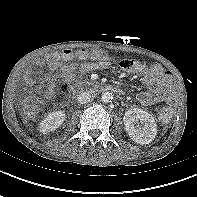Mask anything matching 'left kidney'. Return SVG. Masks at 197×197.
Wrapping results in <instances>:
<instances>
[{"mask_svg":"<svg viewBox=\"0 0 197 197\" xmlns=\"http://www.w3.org/2000/svg\"><path fill=\"white\" fill-rule=\"evenodd\" d=\"M138 120L141 125H136ZM123 121L127 134L136 143L149 144L157 134V125L153 116L142 109H129L125 112Z\"/></svg>","mask_w":197,"mask_h":197,"instance_id":"1","label":"left kidney"}]
</instances>
